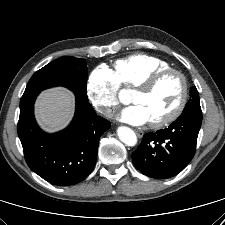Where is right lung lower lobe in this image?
<instances>
[{
    "label": "right lung lower lobe",
    "instance_id": "98d812e1",
    "mask_svg": "<svg viewBox=\"0 0 225 225\" xmlns=\"http://www.w3.org/2000/svg\"><path fill=\"white\" fill-rule=\"evenodd\" d=\"M38 93L25 94L20 101L18 136L25 160L32 171L51 184L74 185L93 170L98 142L110 122L97 116L86 100L76 98V113L67 129L55 134L40 130L33 116Z\"/></svg>",
    "mask_w": 225,
    "mask_h": 225
}]
</instances>
